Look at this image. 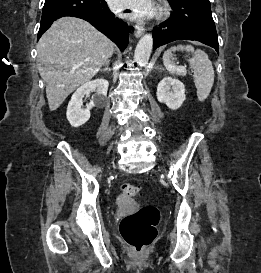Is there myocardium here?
Segmentation results:
<instances>
[{
	"instance_id": "f54148a6",
	"label": "myocardium",
	"mask_w": 261,
	"mask_h": 273,
	"mask_svg": "<svg viewBox=\"0 0 261 273\" xmlns=\"http://www.w3.org/2000/svg\"><path fill=\"white\" fill-rule=\"evenodd\" d=\"M168 8L166 5H160L157 10V18L162 19L166 16Z\"/></svg>"
}]
</instances>
